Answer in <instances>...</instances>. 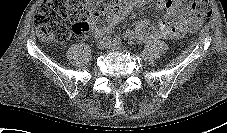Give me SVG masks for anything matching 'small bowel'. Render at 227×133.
Listing matches in <instances>:
<instances>
[{
    "mask_svg": "<svg viewBox=\"0 0 227 133\" xmlns=\"http://www.w3.org/2000/svg\"><path fill=\"white\" fill-rule=\"evenodd\" d=\"M150 0H128L124 2L113 21L118 22L131 10L133 4L143 5ZM185 0H157L159 9L164 10L169 21L162 22L157 28L150 26L148 21L140 22L135 29L125 31L129 39H176L187 33L195 32L200 27L199 18L189 9L181 10ZM95 35H101L107 31L99 28L94 29Z\"/></svg>",
    "mask_w": 227,
    "mask_h": 133,
    "instance_id": "c3829d8e",
    "label": "small bowel"
}]
</instances>
